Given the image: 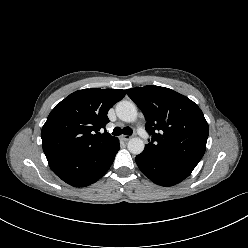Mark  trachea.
Returning <instances> with one entry per match:
<instances>
[{
	"mask_svg": "<svg viewBox=\"0 0 248 248\" xmlns=\"http://www.w3.org/2000/svg\"><path fill=\"white\" fill-rule=\"evenodd\" d=\"M122 133L124 135H131L132 134V129L129 128V127H124L123 129H121L120 127H115L113 129V132H112V134L115 135V136H119Z\"/></svg>",
	"mask_w": 248,
	"mask_h": 248,
	"instance_id": "1",
	"label": "trachea"
}]
</instances>
